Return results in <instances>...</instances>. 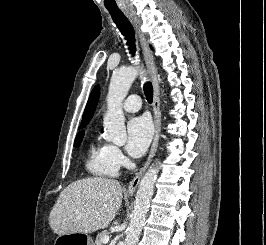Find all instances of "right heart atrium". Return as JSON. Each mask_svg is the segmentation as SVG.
Listing matches in <instances>:
<instances>
[{
	"mask_svg": "<svg viewBox=\"0 0 266 245\" xmlns=\"http://www.w3.org/2000/svg\"><path fill=\"white\" fill-rule=\"evenodd\" d=\"M110 152L113 161L118 167H121L125 164L126 158L119 147L115 145H110Z\"/></svg>",
	"mask_w": 266,
	"mask_h": 245,
	"instance_id": "right-heart-atrium-1",
	"label": "right heart atrium"
}]
</instances>
